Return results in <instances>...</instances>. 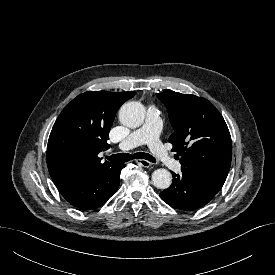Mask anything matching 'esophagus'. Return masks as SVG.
Instances as JSON below:
<instances>
[{
	"instance_id": "34e87169",
	"label": "esophagus",
	"mask_w": 275,
	"mask_h": 275,
	"mask_svg": "<svg viewBox=\"0 0 275 275\" xmlns=\"http://www.w3.org/2000/svg\"><path fill=\"white\" fill-rule=\"evenodd\" d=\"M136 162H137L139 165H141V166H143V167H145V168H149V167L152 166V163L149 162V161H147V160H145V159H138V160H136Z\"/></svg>"
}]
</instances>
